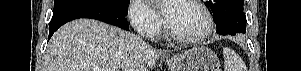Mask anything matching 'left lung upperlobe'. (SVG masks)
Wrapping results in <instances>:
<instances>
[{
    "instance_id": "5c2ea615",
    "label": "left lung upper lobe",
    "mask_w": 301,
    "mask_h": 71,
    "mask_svg": "<svg viewBox=\"0 0 301 71\" xmlns=\"http://www.w3.org/2000/svg\"><path fill=\"white\" fill-rule=\"evenodd\" d=\"M211 9L214 19L223 15L227 10H243V0H205Z\"/></svg>"
}]
</instances>
